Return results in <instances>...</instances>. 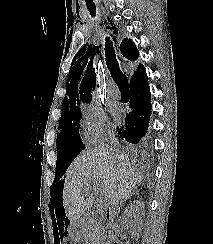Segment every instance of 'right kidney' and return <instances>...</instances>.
<instances>
[{"label":"right kidney","instance_id":"right-kidney-1","mask_svg":"<svg viewBox=\"0 0 213 244\" xmlns=\"http://www.w3.org/2000/svg\"><path fill=\"white\" fill-rule=\"evenodd\" d=\"M144 208V202L142 199L131 203L130 207L125 211L122 223L127 228H134L141 223L138 210ZM133 211V213H132Z\"/></svg>","mask_w":213,"mask_h":244}]
</instances>
